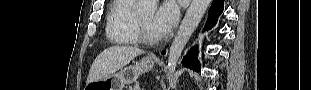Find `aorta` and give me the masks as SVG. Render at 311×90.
Returning <instances> with one entry per match:
<instances>
[{
  "instance_id": "aorta-1",
  "label": "aorta",
  "mask_w": 311,
  "mask_h": 90,
  "mask_svg": "<svg viewBox=\"0 0 311 90\" xmlns=\"http://www.w3.org/2000/svg\"><path fill=\"white\" fill-rule=\"evenodd\" d=\"M210 3L211 0H192L169 49L167 66L171 73L175 72L187 42L206 13ZM156 8L157 0H140L138 5L140 12H154Z\"/></svg>"
}]
</instances>
